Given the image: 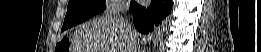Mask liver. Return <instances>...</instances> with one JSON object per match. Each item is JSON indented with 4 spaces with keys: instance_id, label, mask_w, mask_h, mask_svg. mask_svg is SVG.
I'll return each mask as SVG.
<instances>
[{
    "instance_id": "1",
    "label": "liver",
    "mask_w": 261,
    "mask_h": 52,
    "mask_svg": "<svg viewBox=\"0 0 261 52\" xmlns=\"http://www.w3.org/2000/svg\"><path fill=\"white\" fill-rule=\"evenodd\" d=\"M139 37L135 30L129 35L120 17H100L80 26L71 41L74 52H134Z\"/></svg>"
}]
</instances>
